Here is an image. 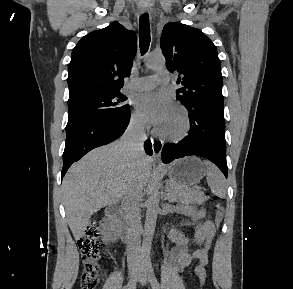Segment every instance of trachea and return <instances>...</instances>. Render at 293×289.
<instances>
[{"label": "trachea", "instance_id": "1", "mask_svg": "<svg viewBox=\"0 0 293 289\" xmlns=\"http://www.w3.org/2000/svg\"><path fill=\"white\" fill-rule=\"evenodd\" d=\"M150 25L148 14H143L139 19V41L140 51L142 54L146 53L150 44Z\"/></svg>", "mask_w": 293, "mask_h": 289}]
</instances>
